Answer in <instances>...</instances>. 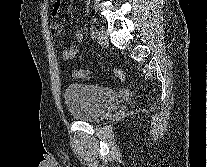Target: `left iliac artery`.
<instances>
[{
  "label": "left iliac artery",
  "mask_w": 207,
  "mask_h": 167,
  "mask_svg": "<svg viewBox=\"0 0 207 167\" xmlns=\"http://www.w3.org/2000/svg\"><path fill=\"white\" fill-rule=\"evenodd\" d=\"M90 33H91V37L92 38L96 37L97 29H96V27L94 25L91 26Z\"/></svg>",
  "instance_id": "44dca946"
}]
</instances>
